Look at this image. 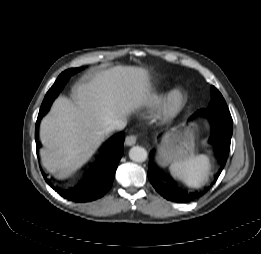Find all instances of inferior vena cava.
I'll list each match as a JSON object with an SVG mask.
<instances>
[{"label":"inferior vena cava","mask_w":261,"mask_h":254,"mask_svg":"<svg viewBox=\"0 0 261 254\" xmlns=\"http://www.w3.org/2000/svg\"><path fill=\"white\" fill-rule=\"evenodd\" d=\"M126 124H127V122L124 119L115 120L108 126V130L109 131H121L125 128Z\"/></svg>","instance_id":"602c4592"}]
</instances>
